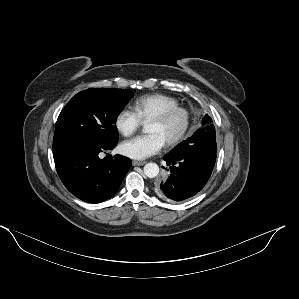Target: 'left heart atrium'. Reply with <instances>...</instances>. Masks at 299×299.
<instances>
[{
	"label": "left heart atrium",
	"instance_id": "39dd6f15",
	"mask_svg": "<svg viewBox=\"0 0 299 299\" xmlns=\"http://www.w3.org/2000/svg\"><path fill=\"white\" fill-rule=\"evenodd\" d=\"M165 141L157 133L141 135L121 143L119 150L124 156L132 159H145L158 153Z\"/></svg>",
	"mask_w": 299,
	"mask_h": 299
}]
</instances>
